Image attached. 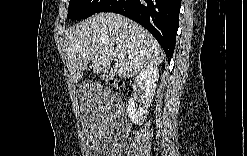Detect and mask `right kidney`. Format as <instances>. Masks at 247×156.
<instances>
[{
	"label": "right kidney",
	"instance_id": "obj_1",
	"mask_svg": "<svg viewBox=\"0 0 247 156\" xmlns=\"http://www.w3.org/2000/svg\"><path fill=\"white\" fill-rule=\"evenodd\" d=\"M158 77L159 70L157 65H147L139 71L135 78L134 88H139L142 92V105L138 106L136 104L135 95H131L127 104L128 117L135 125H141L145 119L148 107L155 95Z\"/></svg>",
	"mask_w": 247,
	"mask_h": 156
}]
</instances>
